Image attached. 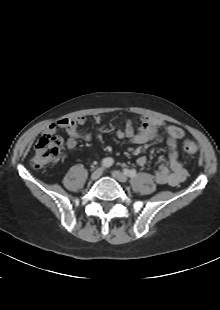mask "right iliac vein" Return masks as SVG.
<instances>
[{"label":"right iliac vein","instance_id":"63e3f726","mask_svg":"<svg viewBox=\"0 0 220 310\" xmlns=\"http://www.w3.org/2000/svg\"><path fill=\"white\" fill-rule=\"evenodd\" d=\"M103 170L101 168L96 169L92 174H91V179L92 180H97L101 175H102Z\"/></svg>","mask_w":220,"mask_h":310}]
</instances>
